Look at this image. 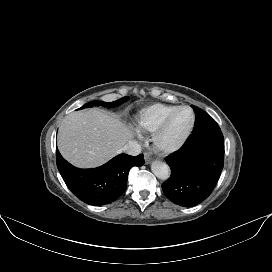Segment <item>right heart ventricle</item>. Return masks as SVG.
Masks as SVG:
<instances>
[{
	"label": "right heart ventricle",
	"instance_id": "right-heart-ventricle-1",
	"mask_svg": "<svg viewBox=\"0 0 272 272\" xmlns=\"http://www.w3.org/2000/svg\"><path fill=\"white\" fill-rule=\"evenodd\" d=\"M174 105L154 104L146 107L136 115V128L140 133H153L164 118L175 108Z\"/></svg>",
	"mask_w": 272,
	"mask_h": 272
}]
</instances>
